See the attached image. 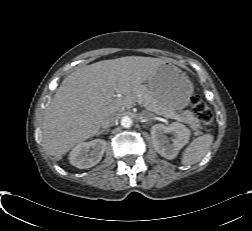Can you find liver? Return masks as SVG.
Returning a JSON list of instances; mask_svg holds the SVG:
<instances>
[{
  "mask_svg": "<svg viewBox=\"0 0 252 231\" xmlns=\"http://www.w3.org/2000/svg\"><path fill=\"white\" fill-rule=\"evenodd\" d=\"M165 61L127 56L99 61L68 75L57 89L43 117L46 151L60 159L72 147L98 134L107 116L117 114L124 98L108 100L110 89L130 96Z\"/></svg>",
  "mask_w": 252,
  "mask_h": 231,
  "instance_id": "6515ba94",
  "label": "liver"
}]
</instances>
